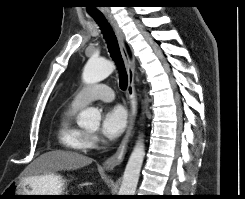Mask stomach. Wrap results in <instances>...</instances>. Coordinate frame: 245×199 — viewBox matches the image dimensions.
<instances>
[{
	"label": "stomach",
	"instance_id": "0dacf381",
	"mask_svg": "<svg viewBox=\"0 0 245 199\" xmlns=\"http://www.w3.org/2000/svg\"><path fill=\"white\" fill-rule=\"evenodd\" d=\"M7 189L15 199L46 198L45 196H14V195H64L65 179L55 173H43L31 178H22L11 183Z\"/></svg>",
	"mask_w": 245,
	"mask_h": 199
}]
</instances>
